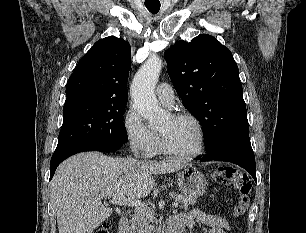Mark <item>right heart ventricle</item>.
<instances>
[{
    "label": "right heart ventricle",
    "mask_w": 306,
    "mask_h": 233,
    "mask_svg": "<svg viewBox=\"0 0 306 233\" xmlns=\"http://www.w3.org/2000/svg\"><path fill=\"white\" fill-rule=\"evenodd\" d=\"M158 150H161V144H160V141L158 142Z\"/></svg>",
    "instance_id": "e07e8e85"
}]
</instances>
